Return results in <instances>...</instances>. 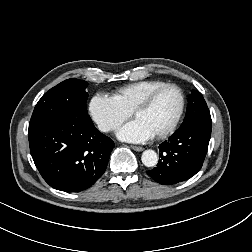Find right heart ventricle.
I'll return each mask as SVG.
<instances>
[{
	"mask_svg": "<svg viewBox=\"0 0 252 252\" xmlns=\"http://www.w3.org/2000/svg\"><path fill=\"white\" fill-rule=\"evenodd\" d=\"M166 84L160 80H143L115 89L112 98L125 110L131 112L135 105L153 89Z\"/></svg>",
	"mask_w": 252,
	"mask_h": 252,
	"instance_id": "right-heart-ventricle-1",
	"label": "right heart ventricle"
}]
</instances>
